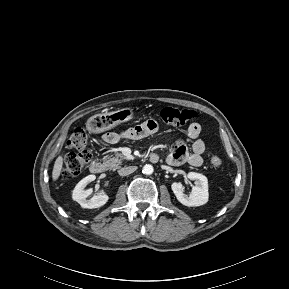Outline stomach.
Here are the masks:
<instances>
[{"label":"stomach","instance_id":"0dacf381","mask_svg":"<svg viewBox=\"0 0 289 289\" xmlns=\"http://www.w3.org/2000/svg\"><path fill=\"white\" fill-rule=\"evenodd\" d=\"M133 110L123 108L103 114H97L90 117L86 122V128L90 133H102L115 126L127 122L133 118Z\"/></svg>","mask_w":289,"mask_h":289}]
</instances>
